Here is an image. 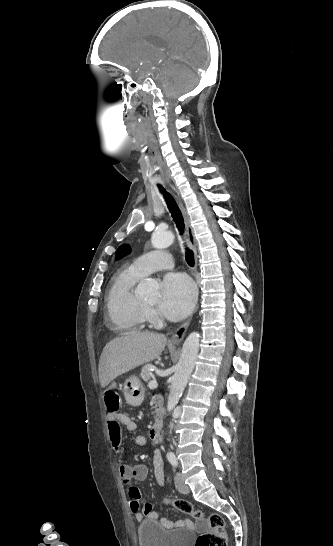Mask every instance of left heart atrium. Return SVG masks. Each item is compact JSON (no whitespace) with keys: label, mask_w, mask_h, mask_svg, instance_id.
<instances>
[{"label":"left heart atrium","mask_w":333,"mask_h":546,"mask_svg":"<svg viewBox=\"0 0 333 546\" xmlns=\"http://www.w3.org/2000/svg\"><path fill=\"white\" fill-rule=\"evenodd\" d=\"M195 298L194 284L187 275L169 273L162 283L159 310L170 320H180L192 311Z\"/></svg>","instance_id":"39dd6f15"}]
</instances>
